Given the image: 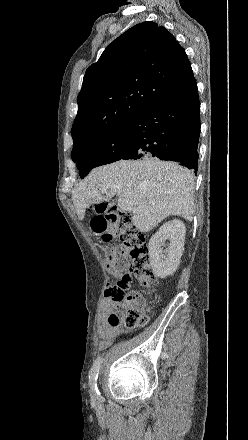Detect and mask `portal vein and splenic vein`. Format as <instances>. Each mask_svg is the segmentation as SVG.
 Wrapping results in <instances>:
<instances>
[{
	"mask_svg": "<svg viewBox=\"0 0 248 440\" xmlns=\"http://www.w3.org/2000/svg\"><path fill=\"white\" fill-rule=\"evenodd\" d=\"M105 192V191H102ZM118 206L124 210V211H136V209L133 207L132 202L126 200V199H119L118 200Z\"/></svg>",
	"mask_w": 248,
	"mask_h": 440,
	"instance_id": "1",
	"label": "portal vein and splenic vein"
}]
</instances>
